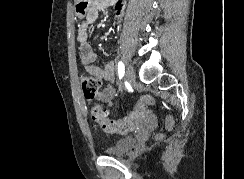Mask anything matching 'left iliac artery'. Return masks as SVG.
Returning a JSON list of instances; mask_svg holds the SVG:
<instances>
[{
    "label": "left iliac artery",
    "instance_id": "obj_1",
    "mask_svg": "<svg viewBox=\"0 0 244 179\" xmlns=\"http://www.w3.org/2000/svg\"><path fill=\"white\" fill-rule=\"evenodd\" d=\"M124 72H125V66H124L122 61H119V63H118V74H119L120 79L123 77Z\"/></svg>",
    "mask_w": 244,
    "mask_h": 179
}]
</instances>
